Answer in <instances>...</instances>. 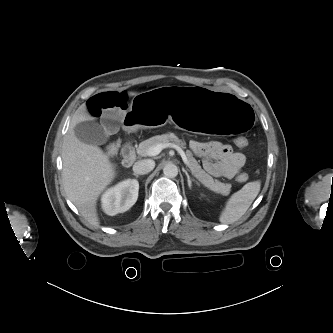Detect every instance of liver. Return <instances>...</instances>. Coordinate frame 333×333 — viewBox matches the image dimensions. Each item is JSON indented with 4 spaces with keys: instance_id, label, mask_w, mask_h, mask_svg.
Here are the masks:
<instances>
[{
    "instance_id": "6515ba94",
    "label": "liver",
    "mask_w": 333,
    "mask_h": 333,
    "mask_svg": "<svg viewBox=\"0 0 333 333\" xmlns=\"http://www.w3.org/2000/svg\"><path fill=\"white\" fill-rule=\"evenodd\" d=\"M136 94L128 93L130 96ZM92 119L85 104L72 116L62 145V181L68 199L90 224L98 226L96 203L101 192L115 177V169L99 147L83 143L75 135L74 127L78 123Z\"/></svg>"
}]
</instances>
